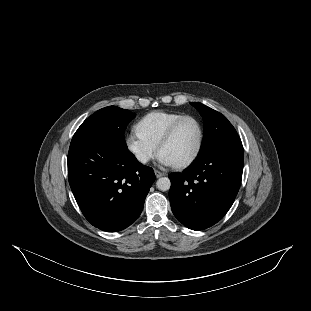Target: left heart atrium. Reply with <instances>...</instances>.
<instances>
[{
    "instance_id": "left-heart-atrium-1",
    "label": "left heart atrium",
    "mask_w": 311,
    "mask_h": 311,
    "mask_svg": "<svg viewBox=\"0 0 311 311\" xmlns=\"http://www.w3.org/2000/svg\"><path fill=\"white\" fill-rule=\"evenodd\" d=\"M159 162L165 166H172V162H170L165 156L160 155L159 156Z\"/></svg>"
}]
</instances>
